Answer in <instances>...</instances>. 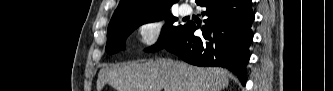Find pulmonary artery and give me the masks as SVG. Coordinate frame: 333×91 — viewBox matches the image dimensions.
I'll use <instances>...</instances> for the list:
<instances>
[{
  "mask_svg": "<svg viewBox=\"0 0 333 91\" xmlns=\"http://www.w3.org/2000/svg\"><path fill=\"white\" fill-rule=\"evenodd\" d=\"M190 12H191V8L186 4L181 5L180 8H179V13L182 16H186V15L190 14Z\"/></svg>",
  "mask_w": 333,
  "mask_h": 91,
  "instance_id": "1",
  "label": "pulmonary artery"
}]
</instances>
